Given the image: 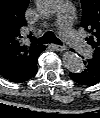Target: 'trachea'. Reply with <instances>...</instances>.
Wrapping results in <instances>:
<instances>
[{"label":"trachea","mask_w":100,"mask_h":118,"mask_svg":"<svg viewBox=\"0 0 100 118\" xmlns=\"http://www.w3.org/2000/svg\"><path fill=\"white\" fill-rule=\"evenodd\" d=\"M38 44H47V43H54L58 45H62V42L56 38L52 32L45 33L37 42Z\"/></svg>","instance_id":"3493384b"}]
</instances>
